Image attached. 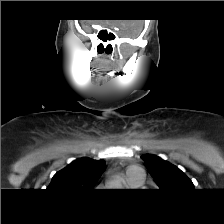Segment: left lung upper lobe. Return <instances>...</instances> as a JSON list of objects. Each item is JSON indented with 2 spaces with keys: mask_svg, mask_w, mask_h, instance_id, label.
I'll list each match as a JSON object with an SVG mask.
<instances>
[{
  "mask_svg": "<svg viewBox=\"0 0 224 224\" xmlns=\"http://www.w3.org/2000/svg\"><path fill=\"white\" fill-rule=\"evenodd\" d=\"M141 158L161 191L178 193L194 190L192 181L177 166L156 155L145 154Z\"/></svg>",
  "mask_w": 224,
  "mask_h": 224,
  "instance_id": "5c2ea615",
  "label": "left lung upper lobe"
}]
</instances>
